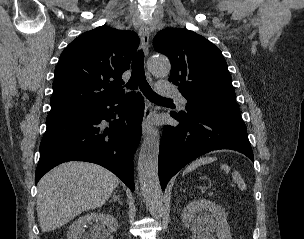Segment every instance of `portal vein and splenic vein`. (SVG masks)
Here are the masks:
<instances>
[{
  "instance_id": "obj_1",
  "label": "portal vein and splenic vein",
  "mask_w": 304,
  "mask_h": 239,
  "mask_svg": "<svg viewBox=\"0 0 304 239\" xmlns=\"http://www.w3.org/2000/svg\"><path fill=\"white\" fill-rule=\"evenodd\" d=\"M209 194H210V195H214V192H210Z\"/></svg>"
}]
</instances>
